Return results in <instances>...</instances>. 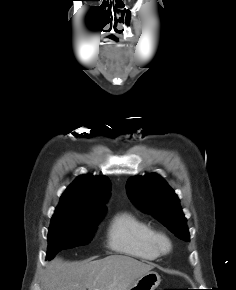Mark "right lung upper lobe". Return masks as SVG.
<instances>
[{
	"instance_id": "right-lung-upper-lobe-1",
	"label": "right lung upper lobe",
	"mask_w": 236,
	"mask_h": 290,
	"mask_svg": "<svg viewBox=\"0 0 236 290\" xmlns=\"http://www.w3.org/2000/svg\"><path fill=\"white\" fill-rule=\"evenodd\" d=\"M111 182L105 176H79L63 193L54 216L84 217L104 214Z\"/></svg>"
}]
</instances>
